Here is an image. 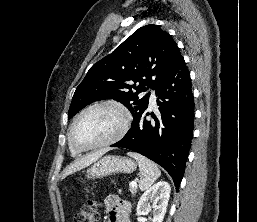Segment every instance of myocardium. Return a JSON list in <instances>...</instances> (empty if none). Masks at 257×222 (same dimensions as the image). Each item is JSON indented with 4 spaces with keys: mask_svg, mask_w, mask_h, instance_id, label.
<instances>
[{
    "mask_svg": "<svg viewBox=\"0 0 257 222\" xmlns=\"http://www.w3.org/2000/svg\"><path fill=\"white\" fill-rule=\"evenodd\" d=\"M101 107L114 108L121 114L122 121H121V126H120L119 130L112 137L106 139L103 142H100L98 144L88 146V147L79 146L74 141V138H73V133H74L76 124L81 119V117L84 116L86 113H88L89 111H91L93 109L101 108ZM130 123H131V113H130L129 108L123 102L116 100V99L101 100V101H98V102H95V103L89 105L75 117L74 121L72 122V124L69 128L68 141H69L70 146L77 152H87V151L99 149L102 147L110 146V145H113V144L117 143L118 141H120L126 135V133L129 130Z\"/></svg>",
    "mask_w": 257,
    "mask_h": 222,
    "instance_id": "f54148a6",
    "label": "myocardium"
}]
</instances>
